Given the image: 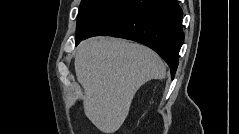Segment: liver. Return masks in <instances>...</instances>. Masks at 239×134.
Returning <instances> with one entry per match:
<instances>
[{"instance_id":"1","label":"liver","mask_w":239,"mask_h":134,"mask_svg":"<svg viewBox=\"0 0 239 134\" xmlns=\"http://www.w3.org/2000/svg\"><path fill=\"white\" fill-rule=\"evenodd\" d=\"M74 65L85 93V115L105 134L123 124L140 86L166 75L164 62L153 50L118 38L83 41Z\"/></svg>"}]
</instances>
